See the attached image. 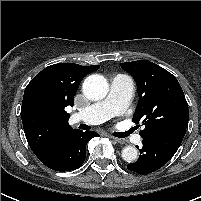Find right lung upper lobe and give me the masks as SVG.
Returning <instances> with one entry per match:
<instances>
[{
  "label": "right lung upper lobe",
  "mask_w": 201,
  "mask_h": 201,
  "mask_svg": "<svg viewBox=\"0 0 201 201\" xmlns=\"http://www.w3.org/2000/svg\"><path fill=\"white\" fill-rule=\"evenodd\" d=\"M100 68L58 63L46 67L27 85L21 108L26 139L34 153L44 151L71 133L69 114L73 98L84 76Z\"/></svg>",
  "instance_id": "obj_1"
}]
</instances>
